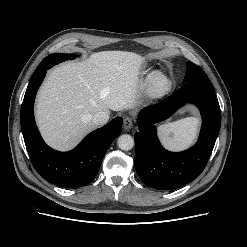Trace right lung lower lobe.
<instances>
[{
    "instance_id": "98d812e1",
    "label": "right lung lower lobe",
    "mask_w": 247,
    "mask_h": 247,
    "mask_svg": "<svg viewBox=\"0 0 247 247\" xmlns=\"http://www.w3.org/2000/svg\"><path fill=\"white\" fill-rule=\"evenodd\" d=\"M47 69L41 68L32 75L23 99L21 129L25 145L34 168L45 180L64 188H78L97 175L107 149L121 133L122 118L93 131L72 151L51 149L40 136L33 114L35 95Z\"/></svg>"
}]
</instances>
